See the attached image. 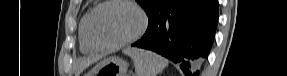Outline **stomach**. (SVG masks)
I'll return each mask as SVG.
<instances>
[{"instance_id":"stomach-1","label":"stomach","mask_w":287,"mask_h":76,"mask_svg":"<svg viewBox=\"0 0 287 76\" xmlns=\"http://www.w3.org/2000/svg\"><path fill=\"white\" fill-rule=\"evenodd\" d=\"M128 64L118 57H108L98 63L86 76H125Z\"/></svg>"}]
</instances>
